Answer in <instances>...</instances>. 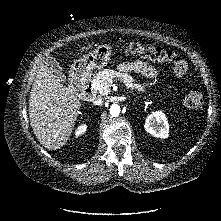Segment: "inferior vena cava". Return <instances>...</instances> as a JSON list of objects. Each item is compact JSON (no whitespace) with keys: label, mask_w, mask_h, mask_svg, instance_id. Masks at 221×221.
<instances>
[{"label":"inferior vena cava","mask_w":221,"mask_h":221,"mask_svg":"<svg viewBox=\"0 0 221 221\" xmlns=\"http://www.w3.org/2000/svg\"><path fill=\"white\" fill-rule=\"evenodd\" d=\"M95 102H96L97 104H102V103H103L102 98H98Z\"/></svg>","instance_id":"1"}]
</instances>
